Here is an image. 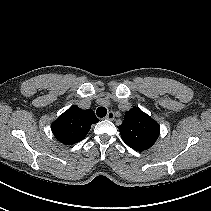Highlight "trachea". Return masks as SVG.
<instances>
[{
	"mask_svg": "<svg viewBox=\"0 0 211 211\" xmlns=\"http://www.w3.org/2000/svg\"><path fill=\"white\" fill-rule=\"evenodd\" d=\"M96 114L98 117H104L107 114V109L105 107H98L96 110Z\"/></svg>",
	"mask_w": 211,
	"mask_h": 211,
	"instance_id": "trachea-1",
	"label": "trachea"
}]
</instances>
